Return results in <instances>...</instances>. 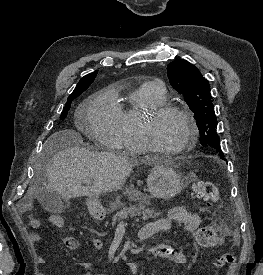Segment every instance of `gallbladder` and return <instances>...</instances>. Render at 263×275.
Returning a JSON list of instances; mask_svg holds the SVG:
<instances>
[{"label": "gallbladder", "instance_id": "gallbladder-1", "mask_svg": "<svg viewBox=\"0 0 263 275\" xmlns=\"http://www.w3.org/2000/svg\"><path fill=\"white\" fill-rule=\"evenodd\" d=\"M38 200L42 207L50 213H62L66 208L62 201V196L51 189L45 188L38 195Z\"/></svg>", "mask_w": 263, "mask_h": 275}]
</instances>
